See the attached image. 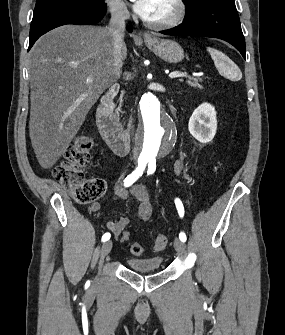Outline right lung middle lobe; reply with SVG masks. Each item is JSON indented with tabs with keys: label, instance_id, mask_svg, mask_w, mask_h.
<instances>
[{
	"label": "right lung middle lobe",
	"instance_id": "dd1d6c3e",
	"mask_svg": "<svg viewBox=\"0 0 285 335\" xmlns=\"http://www.w3.org/2000/svg\"><path fill=\"white\" fill-rule=\"evenodd\" d=\"M58 2H67L76 5H87L92 7L101 6L104 4L103 0H36V6L34 11Z\"/></svg>",
	"mask_w": 285,
	"mask_h": 335
}]
</instances>
